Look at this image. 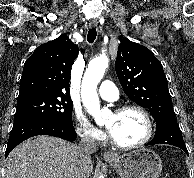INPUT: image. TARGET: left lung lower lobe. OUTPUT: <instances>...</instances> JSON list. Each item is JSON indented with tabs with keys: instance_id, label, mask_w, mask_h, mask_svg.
<instances>
[{
	"instance_id": "obj_1",
	"label": "left lung lower lobe",
	"mask_w": 194,
	"mask_h": 178,
	"mask_svg": "<svg viewBox=\"0 0 194 178\" xmlns=\"http://www.w3.org/2000/svg\"><path fill=\"white\" fill-rule=\"evenodd\" d=\"M154 144H170L181 148L186 154H188L177 119L174 116L165 117L156 122L155 136L146 145Z\"/></svg>"
}]
</instances>
